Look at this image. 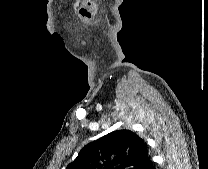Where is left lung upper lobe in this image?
Returning a JSON list of instances; mask_svg holds the SVG:
<instances>
[{
    "instance_id": "5c2ea615",
    "label": "left lung upper lobe",
    "mask_w": 208,
    "mask_h": 169,
    "mask_svg": "<svg viewBox=\"0 0 208 169\" xmlns=\"http://www.w3.org/2000/svg\"><path fill=\"white\" fill-rule=\"evenodd\" d=\"M148 156L142 138L117 130L84 146L66 169H142Z\"/></svg>"
}]
</instances>
